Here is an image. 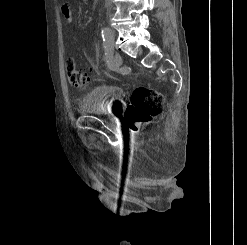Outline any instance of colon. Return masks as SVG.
Wrapping results in <instances>:
<instances>
[{"label":"colon","mask_w":247,"mask_h":245,"mask_svg":"<svg viewBox=\"0 0 247 245\" xmlns=\"http://www.w3.org/2000/svg\"><path fill=\"white\" fill-rule=\"evenodd\" d=\"M66 72L71 85L80 87L89 81V72L78 70L76 60L69 56L66 58ZM163 103V96L156 90L147 87H137L130 96V105L126 111V119L133 128L154 118Z\"/></svg>","instance_id":"colon-1"}]
</instances>
